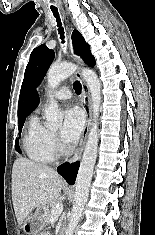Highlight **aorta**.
Listing matches in <instances>:
<instances>
[{
	"instance_id": "1",
	"label": "aorta",
	"mask_w": 155,
	"mask_h": 235,
	"mask_svg": "<svg viewBox=\"0 0 155 235\" xmlns=\"http://www.w3.org/2000/svg\"><path fill=\"white\" fill-rule=\"evenodd\" d=\"M78 67L72 63H62L52 65L47 73V83L49 91V105L45 111V118L52 126H59L62 123V116L59 112L58 104L54 100L53 90L65 78L71 76L77 71ZM81 77L86 81L91 93L93 123L88 135V140L83 152L82 160L78 170L75 183V203L72 208L71 217L65 235H73L77 226L83 207L88 199L89 187L93 175V169L97 158L98 149V116L101 105V83L97 74L88 68L81 70Z\"/></svg>"
}]
</instances>
